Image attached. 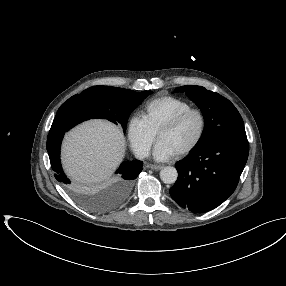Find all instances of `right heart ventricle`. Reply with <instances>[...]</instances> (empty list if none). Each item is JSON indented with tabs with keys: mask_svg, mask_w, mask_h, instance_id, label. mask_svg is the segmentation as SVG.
<instances>
[{
	"mask_svg": "<svg viewBox=\"0 0 286 286\" xmlns=\"http://www.w3.org/2000/svg\"><path fill=\"white\" fill-rule=\"evenodd\" d=\"M190 107L191 104L184 99L174 96H161L145 103L142 109V117L149 127L157 133L168 119Z\"/></svg>",
	"mask_w": 286,
	"mask_h": 286,
	"instance_id": "obj_1",
	"label": "right heart ventricle"
}]
</instances>
